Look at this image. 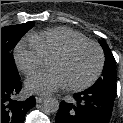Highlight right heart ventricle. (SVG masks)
<instances>
[{
	"label": "right heart ventricle",
	"mask_w": 123,
	"mask_h": 123,
	"mask_svg": "<svg viewBox=\"0 0 123 123\" xmlns=\"http://www.w3.org/2000/svg\"><path fill=\"white\" fill-rule=\"evenodd\" d=\"M29 39L40 49L45 58L52 57L74 43L88 40L80 32L67 27H54L36 32L31 34Z\"/></svg>",
	"instance_id": "obj_1"
}]
</instances>
